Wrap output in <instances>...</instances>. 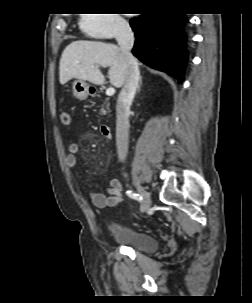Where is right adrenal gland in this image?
<instances>
[{
  "instance_id": "1",
  "label": "right adrenal gland",
  "mask_w": 252,
  "mask_h": 303,
  "mask_svg": "<svg viewBox=\"0 0 252 303\" xmlns=\"http://www.w3.org/2000/svg\"><path fill=\"white\" fill-rule=\"evenodd\" d=\"M141 85H142V77H140V79H139V85H138V88H137L138 93L140 92Z\"/></svg>"
}]
</instances>
